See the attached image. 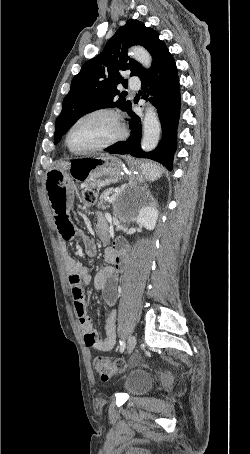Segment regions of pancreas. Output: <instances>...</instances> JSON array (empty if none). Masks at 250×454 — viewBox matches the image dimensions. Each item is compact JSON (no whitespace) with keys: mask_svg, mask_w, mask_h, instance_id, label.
<instances>
[{"mask_svg":"<svg viewBox=\"0 0 250 454\" xmlns=\"http://www.w3.org/2000/svg\"><path fill=\"white\" fill-rule=\"evenodd\" d=\"M111 193H112V189H106L105 191H103V193L100 196V202L98 203L99 208L104 210L107 207H109V205L107 204V201H106V197L108 195H110ZM114 196H116V194Z\"/></svg>","mask_w":250,"mask_h":454,"instance_id":"obj_1","label":"pancreas"}]
</instances>
